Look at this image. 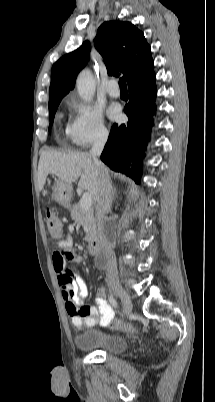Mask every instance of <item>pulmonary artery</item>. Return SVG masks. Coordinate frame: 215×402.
<instances>
[{
	"label": "pulmonary artery",
	"instance_id": "1",
	"mask_svg": "<svg viewBox=\"0 0 215 402\" xmlns=\"http://www.w3.org/2000/svg\"><path fill=\"white\" fill-rule=\"evenodd\" d=\"M106 91L107 93L112 96V97H119L120 96V90L117 86V82L114 79H111L108 81L106 85Z\"/></svg>",
	"mask_w": 215,
	"mask_h": 402
}]
</instances>
